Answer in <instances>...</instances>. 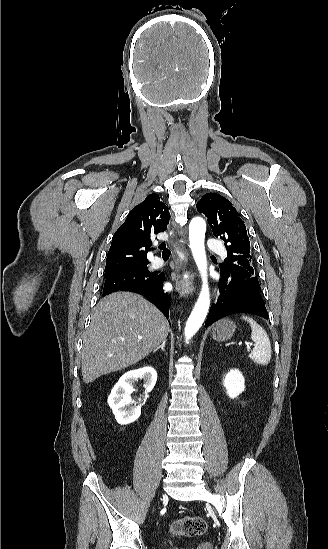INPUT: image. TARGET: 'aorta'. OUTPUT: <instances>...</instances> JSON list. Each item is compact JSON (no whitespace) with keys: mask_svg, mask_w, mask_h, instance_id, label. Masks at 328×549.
Masks as SVG:
<instances>
[{"mask_svg":"<svg viewBox=\"0 0 328 549\" xmlns=\"http://www.w3.org/2000/svg\"><path fill=\"white\" fill-rule=\"evenodd\" d=\"M206 223L201 217H195L189 224L190 248L195 263L202 277V288L198 300L192 310L184 329L185 339L188 341L202 326L210 306V292L207 281V257L205 253Z\"/></svg>","mask_w":328,"mask_h":549,"instance_id":"762f6f07","label":"aorta"}]
</instances>
